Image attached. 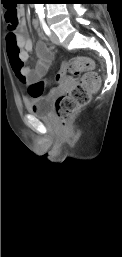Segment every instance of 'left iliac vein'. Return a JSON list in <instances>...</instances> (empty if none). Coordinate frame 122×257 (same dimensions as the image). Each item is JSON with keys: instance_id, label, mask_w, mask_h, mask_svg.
I'll return each instance as SVG.
<instances>
[{"instance_id": "1", "label": "left iliac vein", "mask_w": 122, "mask_h": 257, "mask_svg": "<svg viewBox=\"0 0 122 257\" xmlns=\"http://www.w3.org/2000/svg\"><path fill=\"white\" fill-rule=\"evenodd\" d=\"M50 40H51L52 43H54L56 45L59 44V38L54 32L50 33Z\"/></svg>"}]
</instances>
